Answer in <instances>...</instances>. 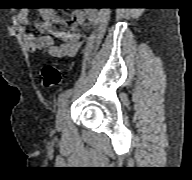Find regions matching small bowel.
Listing matches in <instances>:
<instances>
[{
  "label": "small bowel",
  "instance_id": "small-bowel-1",
  "mask_svg": "<svg viewBox=\"0 0 192 180\" xmlns=\"http://www.w3.org/2000/svg\"><path fill=\"white\" fill-rule=\"evenodd\" d=\"M42 21L35 24L41 34H33L26 30L29 24V11L22 9L17 20L23 26L22 34L27 50L31 53H46L51 57H73L78 54L84 44V37L80 27L88 29L96 18L94 9H77L72 12V23L68 30L59 28L64 20L51 8L41 10ZM55 39L57 41H55Z\"/></svg>",
  "mask_w": 192,
  "mask_h": 180
}]
</instances>
